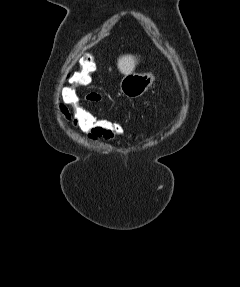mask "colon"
<instances>
[{
	"mask_svg": "<svg viewBox=\"0 0 240 287\" xmlns=\"http://www.w3.org/2000/svg\"><path fill=\"white\" fill-rule=\"evenodd\" d=\"M96 66L92 58L82 60L81 70L67 76L70 84L63 85L59 90V97L66 109L68 117L75 127L80 128L87 135H100L105 138H114L123 134V126L114 120L104 119L85 107V95L80 87L91 82V75Z\"/></svg>",
	"mask_w": 240,
	"mask_h": 287,
	"instance_id": "obj_1",
	"label": "colon"
}]
</instances>
